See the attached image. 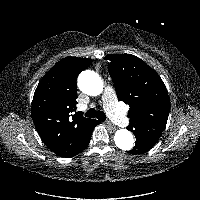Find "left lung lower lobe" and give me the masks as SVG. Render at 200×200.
Masks as SVG:
<instances>
[{"label":"left lung lower lobe","instance_id":"0a47b994","mask_svg":"<svg viewBox=\"0 0 200 200\" xmlns=\"http://www.w3.org/2000/svg\"><path fill=\"white\" fill-rule=\"evenodd\" d=\"M154 144L148 141L136 140L135 147L129 151L131 154H142L149 151Z\"/></svg>","mask_w":200,"mask_h":200}]
</instances>
